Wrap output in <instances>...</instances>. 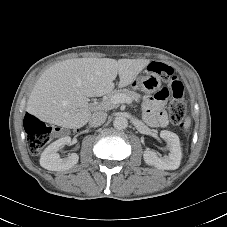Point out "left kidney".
<instances>
[{
	"instance_id": "5707ae66",
	"label": "left kidney",
	"mask_w": 227,
	"mask_h": 227,
	"mask_svg": "<svg viewBox=\"0 0 227 227\" xmlns=\"http://www.w3.org/2000/svg\"><path fill=\"white\" fill-rule=\"evenodd\" d=\"M160 137L168 143L169 155L159 157L154 151L147 149L143 154L144 161L158 169L175 170L180 166L182 158L179 137L167 130L161 131Z\"/></svg>"
}]
</instances>
